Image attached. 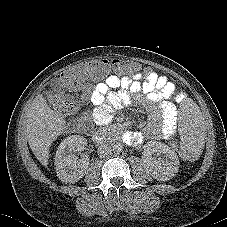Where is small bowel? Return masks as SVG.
<instances>
[{
	"label": "small bowel",
	"instance_id": "obj_1",
	"mask_svg": "<svg viewBox=\"0 0 227 227\" xmlns=\"http://www.w3.org/2000/svg\"><path fill=\"white\" fill-rule=\"evenodd\" d=\"M176 93V86L166 76L148 71L145 77L107 76L94 89L83 94L94 106L93 120L96 125L108 124L115 107L139 100L149 109L148 125L143 132L122 131L121 137L128 144H140L146 138L167 140L169 132L176 133L177 111L170 98ZM181 96L178 97V100Z\"/></svg>",
	"mask_w": 227,
	"mask_h": 227
}]
</instances>
